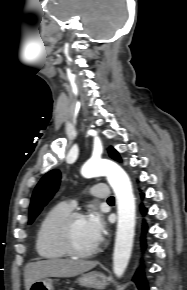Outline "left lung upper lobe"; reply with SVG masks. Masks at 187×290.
<instances>
[{"label":"left lung upper lobe","mask_w":187,"mask_h":290,"mask_svg":"<svg viewBox=\"0 0 187 290\" xmlns=\"http://www.w3.org/2000/svg\"><path fill=\"white\" fill-rule=\"evenodd\" d=\"M111 158L117 161H121L119 154L115 149L110 147L108 149ZM60 182L59 170H52L48 172L37 184L30 204L29 212V224H31L37 215L40 213L42 208L52 198L54 193L57 191Z\"/></svg>","instance_id":"obj_1"}]
</instances>
